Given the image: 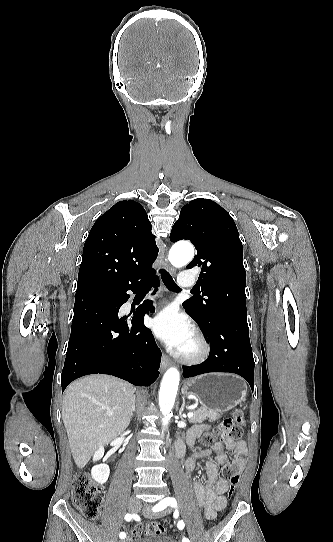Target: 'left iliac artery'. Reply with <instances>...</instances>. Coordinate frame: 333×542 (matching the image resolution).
Listing matches in <instances>:
<instances>
[{
    "label": "left iliac artery",
    "instance_id": "obj_1",
    "mask_svg": "<svg viewBox=\"0 0 333 542\" xmlns=\"http://www.w3.org/2000/svg\"><path fill=\"white\" fill-rule=\"evenodd\" d=\"M176 500L172 497H167L165 499H163L162 501H160L155 507H153V511L154 512H159L163 509H165L168 505L170 506H174L176 505ZM185 524L184 522L181 520L178 522L177 524V527L182 530L184 528ZM182 542H190L188 538H183L182 539Z\"/></svg>",
    "mask_w": 333,
    "mask_h": 542
}]
</instances>
